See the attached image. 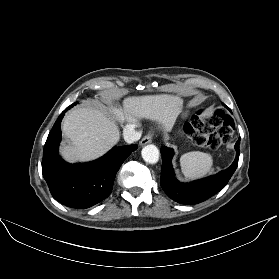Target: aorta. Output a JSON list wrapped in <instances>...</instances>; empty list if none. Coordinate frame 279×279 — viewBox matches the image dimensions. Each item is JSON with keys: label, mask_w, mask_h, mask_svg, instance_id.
Wrapping results in <instances>:
<instances>
[{"label": "aorta", "mask_w": 279, "mask_h": 279, "mask_svg": "<svg viewBox=\"0 0 279 279\" xmlns=\"http://www.w3.org/2000/svg\"><path fill=\"white\" fill-rule=\"evenodd\" d=\"M141 153L143 160L149 164H155L159 160V150L153 144L146 145Z\"/></svg>", "instance_id": "1"}]
</instances>
